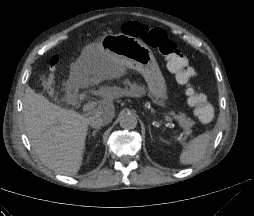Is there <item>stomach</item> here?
I'll use <instances>...</instances> for the list:
<instances>
[{
    "instance_id": "stomach-1",
    "label": "stomach",
    "mask_w": 254,
    "mask_h": 216,
    "mask_svg": "<svg viewBox=\"0 0 254 216\" xmlns=\"http://www.w3.org/2000/svg\"><path fill=\"white\" fill-rule=\"evenodd\" d=\"M109 58H119L126 68L139 72L145 79L149 95L158 106L165 108L168 100L166 80L150 48L141 40L125 35H107L89 46L75 66L87 73L94 72Z\"/></svg>"
}]
</instances>
